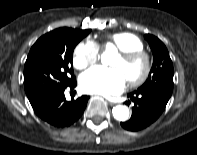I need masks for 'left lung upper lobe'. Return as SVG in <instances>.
Returning <instances> with one entry per match:
<instances>
[{
	"instance_id": "5c2ea615",
	"label": "left lung upper lobe",
	"mask_w": 197,
	"mask_h": 155,
	"mask_svg": "<svg viewBox=\"0 0 197 155\" xmlns=\"http://www.w3.org/2000/svg\"><path fill=\"white\" fill-rule=\"evenodd\" d=\"M153 52V65L146 82L137 90L140 92H152L171 97L173 91V64L165 45L157 37L146 34Z\"/></svg>"
}]
</instances>
